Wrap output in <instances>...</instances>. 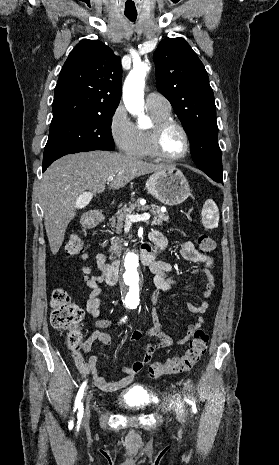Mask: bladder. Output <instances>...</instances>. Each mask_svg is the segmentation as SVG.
Here are the masks:
<instances>
[{"label": "bladder", "mask_w": 279, "mask_h": 465, "mask_svg": "<svg viewBox=\"0 0 279 465\" xmlns=\"http://www.w3.org/2000/svg\"><path fill=\"white\" fill-rule=\"evenodd\" d=\"M121 402L125 407L142 409L149 403V394L143 387L134 386L122 393Z\"/></svg>", "instance_id": "obj_1"}]
</instances>
